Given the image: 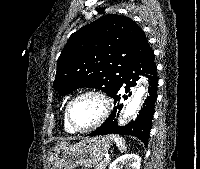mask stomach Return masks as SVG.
Listing matches in <instances>:
<instances>
[{
    "mask_svg": "<svg viewBox=\"0 0 200 169\" xmlns=\"http://www.w3.org/2000/svg\"><path fill=\"white\" fill-rule=\"evenodd\" d=\"M110 146L111 140L108 137L86 138L74 145L59 146L51 152L52 169L94 166L102 160Z\"/></svg>",
    "mask_w": 200,
    "mask_h": 169,
    "instance_id": "0dacf381",
    "label": "stomach"
}]
</instances>
